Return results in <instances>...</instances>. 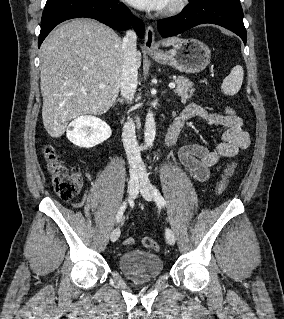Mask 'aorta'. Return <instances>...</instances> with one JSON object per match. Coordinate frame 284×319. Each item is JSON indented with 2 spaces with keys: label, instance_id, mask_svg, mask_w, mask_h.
Returning a JSON list of instances; mask_svg holds the SVG:
<instances>
[{
  "label": "aorta",
  "instance_id": "aorta-1",
  "mask_svg": "<svg viewBox=\"0 0 284 319\" xmlns=\"http://www.w3.org/2000/svg\"><path fill=\"white\" fill-rule=\"evenodd\" d=\"M156 125L154 114L151 110L148 111L145 121L144 141L147 147H151L155 140Z\"/></svg>",
  "mask_w": 284,
  "mask_h": 319
}]
</instances>
